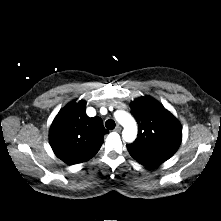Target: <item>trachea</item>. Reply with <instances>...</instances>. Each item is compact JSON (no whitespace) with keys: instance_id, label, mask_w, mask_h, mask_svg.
I'll return each instance as SVG.
<instances>
[{"instance_id":"1","label":"trachea","mask_w":221,"mask_h":221,"mask_svg":"<svg viewBox=\"0 0 221 221\" xmlns=\"http://www.w3.org/2000/svg\"><path fill=\"white\" fill-rule=\"evenodd\" d=\"M116 126L115 122L112 120V119H108L106 122H105V127L109 130H112L114 129Z\"/></svg>"}]
</instances>
